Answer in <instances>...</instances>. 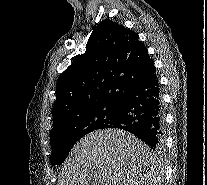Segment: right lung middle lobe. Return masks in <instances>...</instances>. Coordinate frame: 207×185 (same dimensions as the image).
Here are the masks:
<instances>
[{
	"instance_id": "1",
	"label": "right lung middle lobe",
	"mask_w": 207,
	"mask_h": 185,
	"mask_svg": "<svg viewBox=\"0 0 207 185\" xmlns=\"http://www.w3.org/2000/svg\"><path fill=\"white\" fill-rule=\"evenodd\" d=\"M118 103L105 104L68 117L53 126L51 132L52 166L62 164L74 144L86 134L117 120Z\"/></svg>"
}]
</instances>
